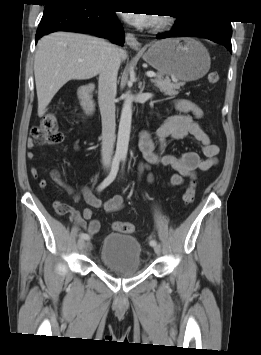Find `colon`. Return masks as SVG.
I'll return each mask as SVG.
<instances>
[{
  "instance_id": "5ec220e1",
  "label": "colon",
  "mask_w": 261,
  "mask_h": 355,
  "mask_svg": "<svg viewBox=\"0 0 261 355\" xmlns=\"http://www.w3.org/2000/svg\"><path fill=\"white\" fill-rule=\"evenodd\" d=\"M208 81L215 84L219 81L218 72H211L208 75ZM31 141L47 145H58L63 142L64 136L58 128V122L53 116H46L42 119L39 125L35 126L31 131ZM196 194V182L191 180L184 193L183 200L185 204H191L194 201ZM113 229L119 233H133L135 225L129 222H115Z\"/></svg>"
}]
</instances>
